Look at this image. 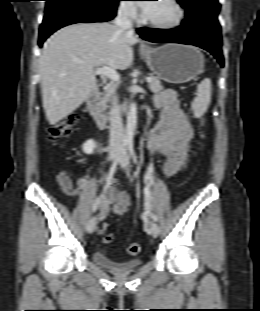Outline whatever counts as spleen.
I'll use <instances>...</instances> for the list:
<instances>
[{"instance_id": "spleen-1", "label": "spleen", "mask_w": 260, "mask_h": 311, "mask_svg": "<svg viewBox=\"0 0 260 311\" xmlns=\"http://www.w3.org/2000/svg\"><path fill=\"white\" fill-rule=\"evenodd\" d=\"M211 80L205 78L197 86V96L191 104L194 116L199 118L207 111L211 101Z\"/></svg>"}]
</instances>
